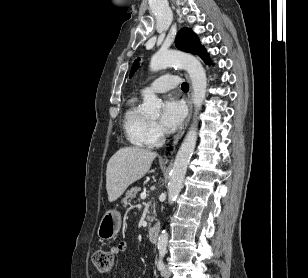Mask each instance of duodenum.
<instances>
[{"label": "duodenum", "instance_id": "1", "mask_svg": "<svg viewBox=\"0 0 308 278\" xmlns=\"http://www.w3.org/2000/svg\"><path fill=\"white\" fill-rule=\"evenodd\" d=\"M159 227L158 226H153L150 228L148 232V239L151 243H155L159 237Z\"/></svg>", "mask_w": 308, "mask_h": 278}]
</instances>
